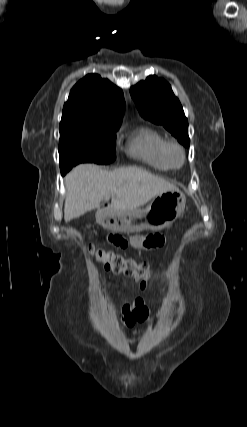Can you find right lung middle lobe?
I'll return each mask as SVG.
<instances>
[{
  "instance_id": "dd1d6c3e",
  "label": "right lung middle lobe",
  "mask_w": 247,
  "mask_h": 427,
  "mask_svg": "<svg viewBox=\"0 0 247 427\" xmlns=\"http://www.w3.org/2000/svg\"><path fill=\"white\" fill-rule=\"evenodd\" d=\"M120 125H102L74 116L60 122L59 157L61 173L65 174L81 162L109 164L116 159V131Z\"/></svg>"
}]
</instances>
